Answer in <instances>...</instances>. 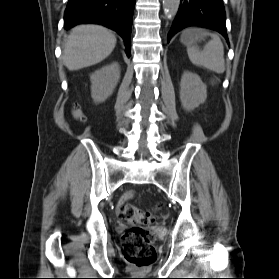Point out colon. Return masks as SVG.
Instances as JSON below:
<instances>
[{"mask_svg":"<svg viewBox=\"0 0 279 279\" xmlns=\"http://www.w3.org/2000/svg\"><path fill=\"white\" fill-rule=\"evenodd\" d=\"M72 112L75 119L79 121L85 120V116L78 106H74ZM118 210L122 219L130 225L122 235L124 258L138 267L151 265L157 258V253L153 246L155 234L142 225L155 222L158 208L143 209L131 203H124Z\"/></svg>","mask_w":279,"mask_h":279,"instance_id":"colon-1","label":"colon"}]
</instances>
